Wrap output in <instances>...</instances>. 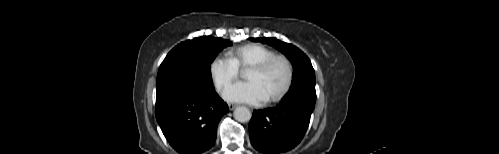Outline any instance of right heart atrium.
I'll return each instance as SVG.
<instances>
[{
	"label": "right heart atrium",
	"instance_id": "obj_1",
	"mask_svg": "<svg viewBox=\"0 0 499 154\" xmlns=\"http://www.w3.org/2000/svg\"><path fill=\"white\" fill-rule=\"evenodd\" d=\"M239 74V68L227 56H217L209 65L210 78L218 91L227 87Z\"/></svg>",
	"mask_w": 499,
	"mask_h": 154
}]
</instances>
